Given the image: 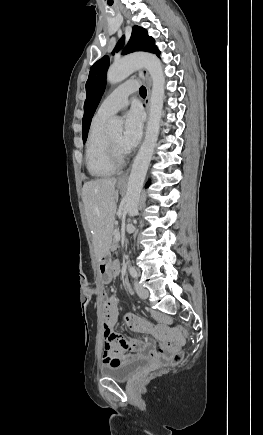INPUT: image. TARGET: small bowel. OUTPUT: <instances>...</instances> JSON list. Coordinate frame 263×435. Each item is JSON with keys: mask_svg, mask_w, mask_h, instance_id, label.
I'll return each instance as SVG.
<instances>
[{"mask_svg": "<svg viewBox=\"0 0 263 435\" xmlns=\"http://www.w3.org/2000/svg\"><path fill=\"white\" fill-rule=\"evenodd\" d=\"M109 269L112 270V273H114L115 276L118 275L119 263L117 261L113 262ZM153 317L162 324H170L172 322L170 317L159 312H154ZM118 322L119 310L117 299L112 295L106 300L103 306V329L115 328ZM122 322L124 325L139 332L158 333L160 331V329H154L144 319L131 313L125 314ZM156 338L159 341L167 340L164 341L163 347H157V356H168L169 350H173L174 347L177 350H180L183 347V344L180 341H177L175 344L173 343L176 339V334L174 332H167L166 334L164 332H159L156 335ZM151 353H154V349L149 338L143 340L139 338L125 337L115 333V339L111 350H103V362L104 364L114 365L133 357Z\"/></svg>", "mask_w": 263, "mask_h": 435, "instance_id": "c3829d8e", "label": "small bowel"}]
</instances>
